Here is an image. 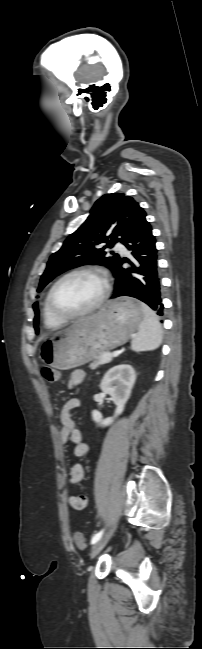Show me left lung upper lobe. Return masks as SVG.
<instances>
[{"instance_id": "1", "label": "left lung upper lobe", "mask_w": 202, "mask_h": 649, "mask_svg": "<svg viewBox=\"0 0 202 649\" xmlns=\"http://www.w3.org/2000/svg\"><path fill=\"white\" fill-rule=\"evenodd\" d=\"M146 215L139 204L123 193H111L96 201L86 221L71 234L62 248L50 256L47 268L41 276L40 292L60 273L85 264L107 266L111 270L120 259L118 254L107 256L105 249L121 242L128 230L141 217ZM108 235V236H106ZM110 239V240H108ZM106 245H102L105 243ZM34 328L39 332L38 303H34Z\"/></svg>"}]
</instances>
